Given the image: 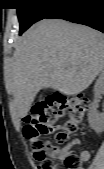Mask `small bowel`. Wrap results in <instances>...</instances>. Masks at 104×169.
<instances>
[{
    "label": "small bowel",
    "instance_id": "obj_1",
    "mask_svg": "<svg viewBox=\"0 0 104 169\" xmlns=\"http://www.w3.org/2000/svg\"><path fill=\"white\" fill-rule=\"evenodd\" d=\"M56 129H61V126H56ZM81 144V141L77 138L72 139L67 144H65L62 148H59V158L64 159V157L69 154L70 149L73 145ZM79 157L81 159L82 163L87 162L90 159V152L87 150H83L80 152ZM79 169H84L83 167H80Z\"/></svg>",
    "mask_w": 104,
    "mask_h": 169
}]
</instances>
